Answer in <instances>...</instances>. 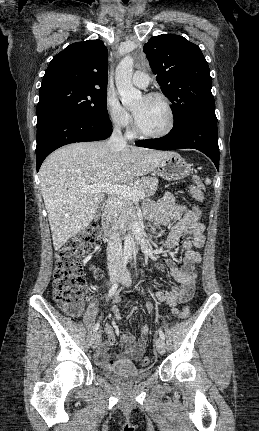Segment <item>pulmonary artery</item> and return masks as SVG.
I'll return each instance as SVG.
<instances>
[{"label":"pulmonary artery","mask_w":259,"mask_h":431,"mask_svg":"<svg viewBox=\"0 0 259 431\" xmlns=\"http://www.w3.org/2000/svg\"><path fill=\"white\" fill-rule=\"evenodd\" d=\"M132 82L139 88H146L149 84V76L142 71H137L133 75Z\"/></svg>","instance_id":"pulmonary-artery-1"}]
</instances>
